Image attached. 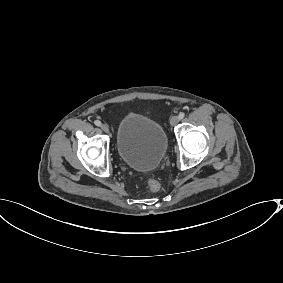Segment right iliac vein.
Listing matches in <instances>:
<instances>
[{
    "mask_svg": "<svg viewBox=\"0 0 283 283\" xmlns=\"http://www.w3.org/2000/svg\"><path fill=\"white\" fill-rule=\"evenodd\" d=\"M101 129H102L104 132H106V133L109 132V127H108V125H106V124L101 125Z\"/></svg>",
    "mask_w": 283,
    "mask_h": 283,
    "instance_id": "1",
    "label": "right iliac vein"
}]
</instances>
